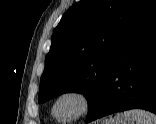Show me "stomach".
Segmentation results:
<instances>
[{
  "label": "stomach",
  "instance_id": "1",
  "mask_svg": "<svg viewBox=\"0 0 156 124\" xmlns=\"http://www.w3.org/2000/svg\"><path fill=\"white\" fill-rule=\"evenodd\" d=\"M101 124H134V120L126 118L123 114H117L114 118L103 121Z\"/></svg>",
  "mask_w": 156,
  "mask_h": 124
}]
</instances>
